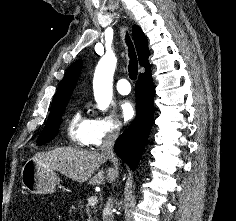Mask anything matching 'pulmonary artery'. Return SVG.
Instances as JSON below:
<instances>
[{"label":"pulmonary artery","mask_w":236,"mask_h":221,"mask_svg":"<svg viewBox=\"0 0 236 221\" xmlns=\"http://www.w3.org/2000/svg\"><path fill=\"white\" fill-rule=\"evenodd\" d=\"M116 89L121 95H127L131 91L129 81L127 79H120L116 83Z\"/></svg>","instance_id":"obj_1"}]
</instances>
